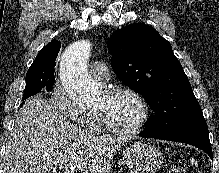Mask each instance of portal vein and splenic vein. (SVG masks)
Segmentation results:
<instances>
[{"instance_id":"18ae733b","label":"portal vein and splenic vein","mask_w":219,"mask_h":173,"mask_svg":"<svg viewBox=\"0 0 219 173\" xmlns=\"http://www.w3.org/2000/svg\"><path fill=\"white\" fill-rule=\"evenodd\" d=\"M74 172V169L73 168H71V169H68V170H66V172L65 173H73Z\"/></svg>"}]
</instances>
